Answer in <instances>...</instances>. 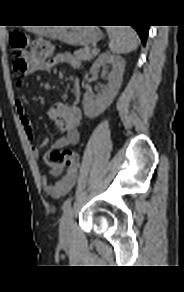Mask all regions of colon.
<instances>
[{
  "instance_id": "obj_1",
  "label": "colon",
  "mask_w": 184,
  "mask_h": 292,
  "mask_svg": "<svg viewBox=\"0 0 184 292\" xmlns=\"http://www.w3.org/2000/svg\"><path fill=\"white\" fill-rule=\"evenodd\" d=\"M27 42V37L19 31H14L10 35L11 53L14 59L13 70L19 76L26 74L32 64L45 61L53 53V46L48 40L38 39L33 43L31 55L28 56ZM48 157L53 163L63 166L74 165L78 162V154L69 149H53Z\"/></svg>"
}]
</instances>
